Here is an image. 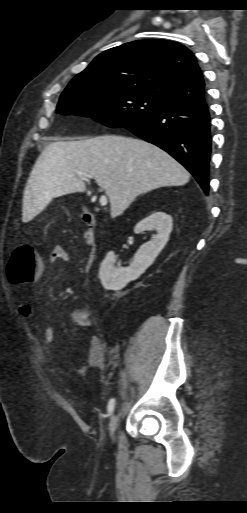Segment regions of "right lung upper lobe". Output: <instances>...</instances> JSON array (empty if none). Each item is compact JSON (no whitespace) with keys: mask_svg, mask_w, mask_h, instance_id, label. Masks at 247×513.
<instances>
[{"mask_svg":"<svg viewBox=\"0 0 247 513\" xmlns=\"http://www.w3.org/2000/svg\"><path fill=\"white\" fill-rule=\"evenodd\" d=\"M71 81L126 88L169 105L204 98L205 86L192 52L168 40H138L106 50Z\"/></svg>","mask_w":247,"mask_h":513,"instance_id":"right-lung-upper-lobe-1","label":"right lung upper lobe"}]
</instances>
